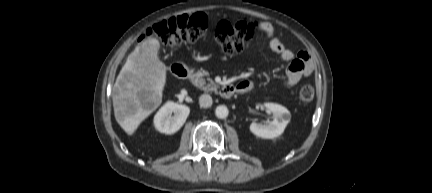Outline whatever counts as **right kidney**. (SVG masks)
<instances>
[{"label":"right kidney","mask_w":432,"mask_h":193,"mask_svg":"<svg viewBox=\"0 0 432 193\" xmlns=\"http://www.w3.org/2000/svg\"><path fill=\"white\" fill-rule=\"evenodd\" d=\"M189 113L186 105L167 102L154 117L155 128L161 133L173 134L183 126Z\"/></svg>","instance_id":"obj_1"}]
</instances>
